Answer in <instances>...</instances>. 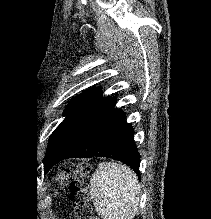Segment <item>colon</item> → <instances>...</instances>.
<instances>
[{"label": "colon", "mask_w": 211, "mask_h": 219, "mask_svg": "<svg viewBox=\"0 0 211 219\" xmlns=\"http://www.w3.org/2000/svg\"><path fill=\"white\" fill-rule=\"evenodd\" d=\"M90 171L89 163L66 164L60 170V180L67 176L73 177L70 183V200L77 219H99L85 198Z\"/></svg>", "instance_id": "5ec220e1"}]
</instances>
